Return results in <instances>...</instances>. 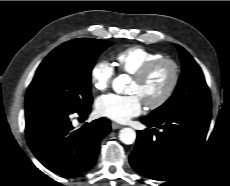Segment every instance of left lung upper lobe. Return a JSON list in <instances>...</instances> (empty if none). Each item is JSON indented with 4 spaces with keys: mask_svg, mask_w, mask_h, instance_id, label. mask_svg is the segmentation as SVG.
I'll return each mask as SVG.
<instances>
[{
    "mask_svg": "<svg viewBox=\"0 0 230 186\" xmlns=\"http://www.w3.org/2000/svg\"><path fill=\"white\" fill-rule=\"evenodd\" d=\"M182 62V74L170 99L148 115L153 119L170 117L181 112L210 111L211 98L204 75L192 56L177 45Z\"/></svg>",
    "mask_w": 230,
    "mask_h": 186,
    "instance_id": "left-lung-upper-lobe-1",
    "label": "left lung upper lobe"
}]
</instances>
